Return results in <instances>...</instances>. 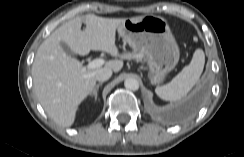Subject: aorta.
Returning <instances> with one entry per match:
<instances>
[{
	"instance_id": "1",
	"label": "aorta",
	"mask_w": 244,
	"mask_h": 157,
	"mask_svg": "<svg viewBox=\"0 0 244 157\" xmlns=\"http://www.w3.org/2000/svg\"><path fill=\"white\" fill-rule=\"evenodd\" d=\"M124 86L128 90L136 91L139 89V82L137 79L130 77L125 79Z\"/></svg>"
}]
</instances>
